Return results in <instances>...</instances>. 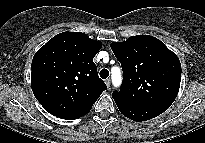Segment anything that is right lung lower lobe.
I'll return each instance as SVG.
<instances>
[{"mask_svg":"<svg viewBox=\"0 0 205 143\" xmlns=\"http://www.w3.org/2000/svg\"><path fill=\"white\" fill-rule=\"evenodd\" d=\"M89 111H90V110H89ZM89 111H87L85 114H87ZM85 114H83V115H85ZM83 115H81V116H83ZM81 116H79V117H81ZM79 117H75V118H62V119L73 120V119H77V118H79Z\"/></svg>","mask_w":205,"mask_h":143,"instance_id":"1","label":"right lung lower lobe"}]
</instances>
